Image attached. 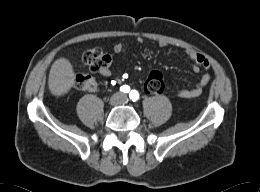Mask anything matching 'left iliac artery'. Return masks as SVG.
<instances>
[{"mask_svg":"<svg viewBox=\"0 0 260 192\" xmlns=\"http://www.w3.org/2000/svg\"><path fill=\"white\" fill-rule=\"evenodd\" d=\"M129 97L132 101H138L139 100V93L136 90H132L129 94Z\"/></svg>","mask_w":260,"mask_h":192,"instance_id":"left-iliac-artery-1","label":"left iliac artery"}]
</instances>
